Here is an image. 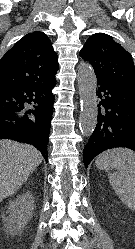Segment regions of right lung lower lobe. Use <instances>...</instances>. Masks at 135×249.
Segmentation results:
<instances>
[{
  "instance_id": "1",
  "label": "right lung lower lobe",
  "mask_w": 135,
  "mask_h": 249,
  "mask_svg": "<svg viewBox=\"0 0 135 249\" xmlns=\"http://www.w3.org/2000/svg\"><path fill=\"white\" fill-rule=\"evenodd\" d=\"M56 79L0 89V139L34 145L47 159ZM29 104L31 106H29Z\"/></svg>"
}]
</instances>
